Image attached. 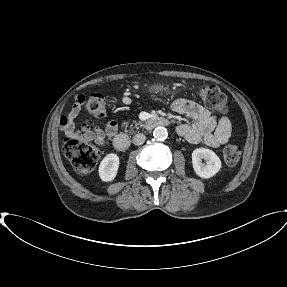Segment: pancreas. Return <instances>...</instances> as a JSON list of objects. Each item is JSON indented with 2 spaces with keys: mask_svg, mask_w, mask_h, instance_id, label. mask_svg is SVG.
Returning <instances> with one entry per match:
<instances>
[{
  "mask_svg": "<svg viewBox=\"0 0 287 287\" xmlns=\"http://www.w3.org/2000/svg\"><path fill=\"white\" fill-rule=\"evenodd\" d=\"M128 125V122L124 123V126H127ZM141 126V123H135V127L138 129L139 127Z\"/></svg>",
  "mask_w": 287,
  "mask_h": 287,
  "instance_id": "cf45deb5",
  "label": "pancreas"
}]
</instances>
